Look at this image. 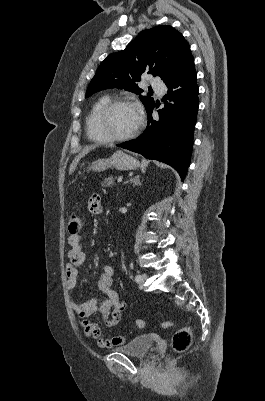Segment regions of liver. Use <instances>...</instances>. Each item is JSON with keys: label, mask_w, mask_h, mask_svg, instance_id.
<instances>
[{"label": "liver", "mask_w": 265, "mask_h": 401, "mask_svg": "<svg viewBox=\"0 0 265 401\" xmlns=\"http://www.w3.org/2000/svg\"><path fill=\"white\" fill-rule=\"evenodd\" d=\"M96 146H98V144H88V146H84L83 150H81V152L75 156L74 160H72L69 168V174H72L73 170H75L80 158L85 156V154H88L92 148H96Z\"/></svg>", "instance_id": "obj_1"}]
</instances>
